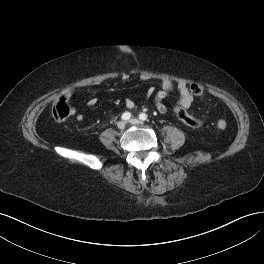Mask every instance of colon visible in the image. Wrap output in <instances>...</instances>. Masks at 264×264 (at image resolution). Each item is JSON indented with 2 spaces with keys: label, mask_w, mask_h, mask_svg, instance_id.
I'll use <instances>...</instances> for the list:
<instances>
[{
  "label": "colon",
  "mask_w": 264,
  "mask_h": 264,
  "mask_svg": "<svg viewBox=\"0 0 264 264\" xmlns=\"http://www.w3.org/2000/svg\"><path fill=\"white\" fill-rule=\"evenodd\" d=\"M189 91L192 95L202 96L204 89L201 85L192 83L189 85ZM174 113L176 116L185 123L187 126L198 129L202 127V121L191 116L183 107L176 106L174 108ZM52 114L55 120L62 122L67 120L71 115V108L68 103V100L65 96H60L54 103ZM217 127L220 130L227 128V123L225 120L220 119L217 121Z\"/></svg>",
  "instance_id": "1"
}]
</instances>
